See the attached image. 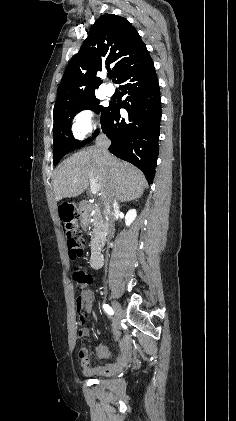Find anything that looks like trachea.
<instances>
[{"instance_id": "3493384b", "label": "trachea", "mask_w": 236, "mask_h": 421, "mask_svg": "<svg viewBox=\"0 0 236 421\" xmlns=\"http://www.w3.org/2000/svg\"><path fill=\"white\" fill-rule=\"evenodd\" d=\"M108 78H112V76L110 75V76H108Z\"/></svg>"}]
</instances>
